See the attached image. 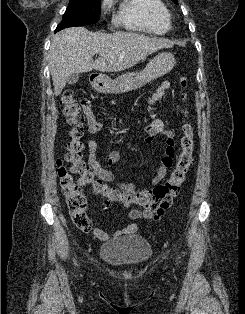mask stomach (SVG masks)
<instances>
[{"label":"stomach","mask_w":245,"mask_h":314,"mask_svg":"<svg viewBox=\"0 0 245 314\" xmlns=\"http://www.w3.org/2000/svg\"><path fill=\"white\" fill-rule=\"evenodd\" d=\"M175 63L176 60L171 53H160L140 72L127 73L114 80L100 74L93 79L92 85L98 92L104 94L125 93L162 77L173 69Z\"/></svg>","instance_id":"0dacf381"}]
</instances>
